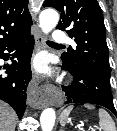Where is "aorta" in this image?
Here are the masks:
<instances>
[{"instance_id": "1", "label": "aorta", "mask_w": 117, "mask_h": 131, "mask_svg": "<svg viewBox=\"0 0 117 131\" xmlns=\"http://www.w3.org/2000/svg\"><path fill=\"white\" fill-rule=\"evenodd\" d=\"M59 21L57 11L53 9L43 10L39 15L40 28L45 34H48L56 27ZM56 114L53 108H46L40 116V123L42 131H52L55 124Z\"/></svg>"}]
</instances>
